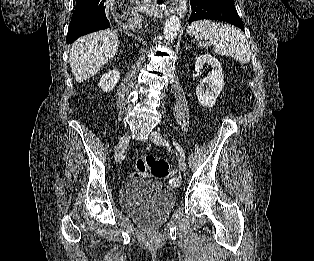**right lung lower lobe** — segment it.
I'll return each mask as SVG.
<instances>
[{
    "mask_svg": "<svg viewBox=\"0 0 314 261\" xmlns=\"http://www.w3.org/2000/svg\"><path fill=\"white\" fill-rule=\"evenodd\" d=\"M105 9L106 0H76L66 42L72 43L83 35L108 28L110 23Z\"/></svg>",
    "mask_w": 314,
    "mask_h": 261,
    "instance_id": "1",
    "label": "right lung lower lobe"
}]
</instances>
